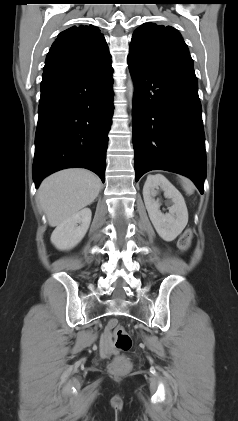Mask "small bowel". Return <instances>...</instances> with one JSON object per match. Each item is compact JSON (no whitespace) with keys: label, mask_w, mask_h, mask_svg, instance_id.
I'll return each mask as SVG.
<instances>
[{"label":"small bowel","mask_w":238,"mask_h":421,"mask_svg":"<svg viewBox=\"0 0 238 421\" xmlns=\"http://www.w3.org/2000/svg\"><path fill=\"white\" fill-rule=\"evenodd\" d=\"M101 348L106 354L110 353L112 350V339L108 331L104 334V336L101 339Z\"/></svg>","instance_id":"small-bowel-1"}]
</instances>
